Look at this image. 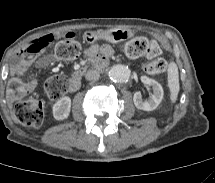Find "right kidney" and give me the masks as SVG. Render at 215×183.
Masks as SVG:
<instances>
[{"mask_svg":"<svg viewBox=\"0 0 215 183\" xmlns=\"http://www.w3.org/2000/svg\"><path fill=\"white\" fill-rule=\"evenodd\" d=\"M71 109V99L68 96L59 99L52 108L53 116L56 120H64L69 116Z\"/></svg>","mask_w":215,"mask_h":183,"instance_id":"1","label":"right kidney"}]
</instances>
